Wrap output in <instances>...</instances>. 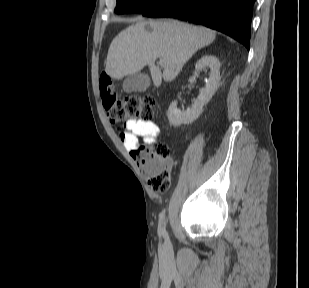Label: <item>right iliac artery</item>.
<instances>
[{
	"label": "right iliac artery",
	"instance_id": "obj_1",
	"mask_svg": "<svg viewBox=\"0 0 309 288\" xmlns=\"http://www.w3.org/2000/svg\"><path fill=\"white\" fill-rule=\"evenodd\" d=\"M164 223H165V211H163V212L160 214V221H159V228H158V231H159V233H161V234H165V233H166L165 227H164Z\"/></svg>",
	"mask_w": 309,
	"mask_h": 288
}]
</instances>
